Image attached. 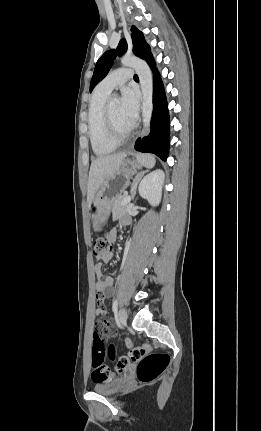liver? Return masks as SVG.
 Returning <instances> with one entry per match:
<instances>
[{
    "label": "liver",
    "mask_w": 261,
    "mask_h": 431,
    "mask_svg": "<svg viewBox=\"0 0 261 431\" xmlns=\"http://www.w3.org/2000/svg\"><path fill=\"white\" fill-rule=\"evenodd\" d=\"M126 152H121L108 156H101L92 161L87 189V203L90 206L100 187L111 177H113L121 167Z\"/></svg>",
    "instance_id": "liver-1"
}]
</instances>
